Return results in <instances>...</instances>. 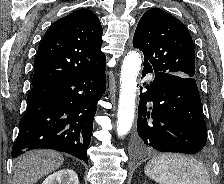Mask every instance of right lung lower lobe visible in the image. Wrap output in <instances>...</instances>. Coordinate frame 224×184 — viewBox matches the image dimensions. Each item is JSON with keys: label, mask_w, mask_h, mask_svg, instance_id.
<instances>
[{"label": "right lung lower lobe", "mask_w": 224, "mask_h": 184, "mask_svg": "<svg viewBox=\"0 0 224 184\" xmlns=\"http://www.w3.org/2000/svg\"><path fill=\"white\" fill-rule=\"evenodd\" d=\"M105 67L33 86L12 157L46 148L69 153L88 163L86 151L97 102L106 89Z\"/></svg>", "instance_id": "1"}]
</instances>
